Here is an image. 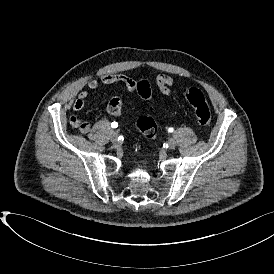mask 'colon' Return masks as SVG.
I'll list each match as a JSON object with an SVG mask.
<instances>
[{"label": "colon", "mask_w": 274, "mask_h": 274, "mask_svg": "<svg viewBox=\"0 0 274 274\" xmlns=\"http://www.w3.org/2000/svg\"><path fill=\"white\" fill-rule=\"evenodd\" d=\"M136 88L143 97H148L151 94L150 86L146 82H138ZM183 94L194 110L198 125L202 128H207L211 122V111L203 92L197 87H186ZM152 105L153 102L150 103L151 107ZM121 107V99L110 101L108 105L109 110L114 115L121 113ZM136 127L145 134V139L150 145L155 143L156 125L151 117H139L136 121Z\"/></svg>", "instance_id": "obj_1"}]
</instances>
